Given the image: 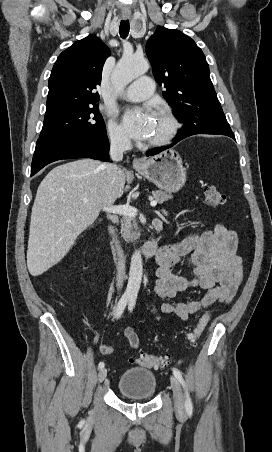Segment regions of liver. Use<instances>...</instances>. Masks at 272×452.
Returning <instances> with one entry per match:
<instances>
[{
  "mask_svg": "<svg viewBox=\"0 0 272 452\" xmlns=\"http://www.w3.org/2000/svg\"><path fill=\"white\" fill-rule=\"evenodd\" d=\"M124 185L123 170L109 179L105 164L93 159L53 168L40 183L32 207L27 250L30 274L39 276L60 262L101 208L123 195Z\"/></svg>",
  "mask_w": 272,
  "mask_h": 452,
  "instance_id": "6515ba94",
  "label": "liver"
}]
</instances>
